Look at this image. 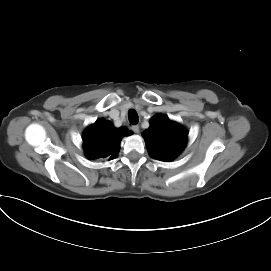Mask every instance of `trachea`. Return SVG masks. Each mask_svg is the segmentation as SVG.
I'll list each match as a JSON object with an SVG mask.
<instances>
[{
    "instance_id": "trachea-1",
    "label": "trachea",
    "mask_w": 271,
    "mask_h": 271,
    "mask_svg": "<svg viewBox=\"0 0 271 271\" xmlns=\"http://www.w3.org/2000/svg\"><path fill=\"white\" fill-rule=\"evenodd\" d=\"M128 118L131 124H137L139 121L138 114L135 110H129Z\"/></svg>"
}]
</instances>
